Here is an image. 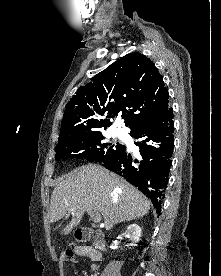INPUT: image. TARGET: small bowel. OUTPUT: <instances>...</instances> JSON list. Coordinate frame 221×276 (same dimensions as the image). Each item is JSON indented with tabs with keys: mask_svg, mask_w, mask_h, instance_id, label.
<instances>
[{
	"mask_svg": "<svg viewBox=\"0 0 221 276\" xmlns=\"http://www.w3.org/2000/svg\"><path fill=\"white\" fill-rule=\"evenodd\" d=\"M78 256L88 257L92 261H99L101 254L90 246H79L75 249Z\"/></svg>",
	"mask_w": 221,
	"mask_h": 276,
	"instance_id": "1",
	"label": "small bowel"
}]
</instances>
